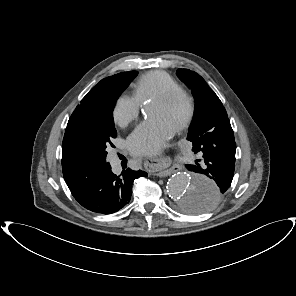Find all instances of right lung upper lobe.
<instances>
[{
    "label": "right lung upper lobe",
    "mask_w": 296,
    "mask_h": 296,
    "mask_svg": "<svg viewBox=\"0 0 296 296\" xmlns=\"http://www.w3.org/2000/svg\"><path fill=\"white\" fill-rule=\"evenodd\" d=\"M115 75L113 76H110V77H107L103 80H101L95 87H93L91 89V91L82 99L81 101V104L78 105L76 107V109L74 110V112L72 113L69 121H68V124H67V128H66V131H65V135H64V138H66L71 132H73L79 125H80V107L82 105V103H84L88 97L94 93L95 91H97L104 83V81L106 79H109V78H112L114 77ZM64 140V139H63ZM62 169H63V176H64V179H65V182L67 185H71L73 182H75L77 179H79L80 177L86 175L88 172H83V171H79V170H76L72 167H70L65 160L62 159Z\"/></svg>",
    "instance_id": "obj_1"
}]
</instances>
